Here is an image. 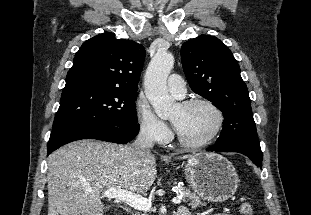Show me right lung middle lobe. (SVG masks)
I'll list each match as a JSON object with an SVG mask.
<instances>
[{
	"mask_svg": "<svg viewBox=\"0 0 311 215\" xmlns=\"http://www.w3.org/2000/svg\"><path fill=\"white\" fill-rule=\"evenodd\" d=\"M136 91L74 84L63 89L52 129L71 125L131 127L137 124Z\"/></svg>",
	"mask_w": 311,
	"mask_h": 215,
	"instance_id": "right-lung-middle-lobe-1",
	"label": "right lung middle lobe"
}]
</instances>
